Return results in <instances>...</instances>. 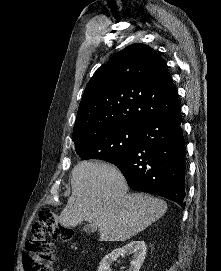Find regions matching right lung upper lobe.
<instances>
[{
    "instance_id": "1",
    "label": "right lung upper lobe",
    "mask_w": 221,
    "mask_h": 271,
    "mask_svg": "<svg viewBox=\"0 0 221 271\" xmlns=\"http://www.w3.org/2000/svg\"><path fill=\"white\" fill-rule=\"evenodd\" d=\"M179 108L164 59L151 47L135 43L114 55L88 82L73 139L118 125L142 127Z\"/></svg>"
}]
</instances>
